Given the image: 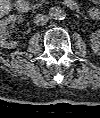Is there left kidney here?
Masks as SVG:
<instances>
[{
  "label": "left kidney",
  "mask_w": 100,
  "mask_h": 118,
  "mask_svg": "<svg viewBox=\"0 0 100 118\" xmlns=\"http://www.w3.org/2000/svg\"><path fill=\"white\" fill-rule=\"evenodd\" d=\"M99 40H100L99 32L93 33L91 35L90 44H91V47L94 51H99V47H100Z\"/></svg>",
  "instance_id": "1"
}]
</instances>
